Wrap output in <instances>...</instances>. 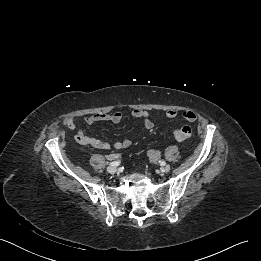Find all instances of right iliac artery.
I'll return each mask as SVG.
<instances>
[{
	"instance_id": "1",
	"label": "right iliac artery",
	"mask_w": 261,
	"mask_h": 261,
	"mask_svg": "<svg viewBox=\"0 0 261 261\" xmlns=\"http://www.w3.org/2000/svg\"><path fill=\"white\" fill-rule=\"evenodd\" d=\"M120 164V161H113L109 165L110 166H118Z\"/></svg>"
}]
</instances>
